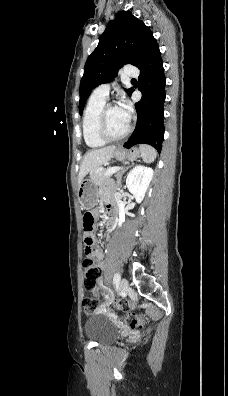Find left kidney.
<instances>
[{"mask_svg": "<svg viewBox=\"0 0 228 396\" xmlns=\"http://www.w3.org/2000/svg\"><path fill=\"white\" fill-rule=\"evenodd\" d=\"M152 168L138 165L127 176L126 186L133 194L137 203H141L153 178Z\"/></svg>", "mask_w": 228, "mask_h": 396, "instance_id": "5707ae66", "label": "left kidney"}]
</instances>
